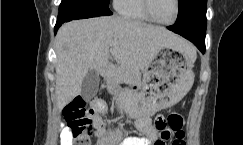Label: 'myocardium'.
Segmentation results:
<instances>
[{
	"label": "myocardium",
	"instance_id": "f54148a6",
	"mask_svg": "<svg viewBox=\"0 0 243 145\" xmlns=\"http://www.w3.org/2000/svg\"><path fill=\"white\" fill-rule=\"evenodd\" d=\"M143 1V8H144V11L146 13V15L148 16V18L156 23V24H159V25H163V26H171L173 24H175V22L177 21L178 19V16H179V11H180V3H179V0H174V3H175V13H174V17L173 19L170 21V22H161L159 20H157L153 13H152V9H151V0H142Z\"/></svg>",
	"mask_w": 243,
	"mask_h": 145
}]
</instances>
